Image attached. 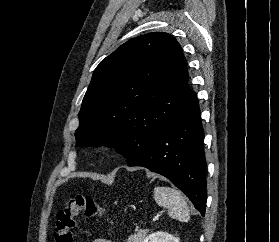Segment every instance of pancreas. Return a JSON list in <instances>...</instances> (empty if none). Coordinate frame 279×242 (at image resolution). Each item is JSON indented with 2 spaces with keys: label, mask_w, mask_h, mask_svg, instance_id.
I'll return each mask as SVG.
<instances>
[{
  "label": "pancreas",
  "mask_w": 279,
  "mask_h": 242,
  "mask_svg": "<svg viewBox=\"0 0 279 242\" xmlns=\"http://www.w3.org/2000/svg\"><path fill=\"white\" fill-rule=\"evenodd\" d=\"M146 234V230H140L137 233L130 235L126 242H142Z\"/></svg>",
  "instance_id": "1"
}]
</instances>
